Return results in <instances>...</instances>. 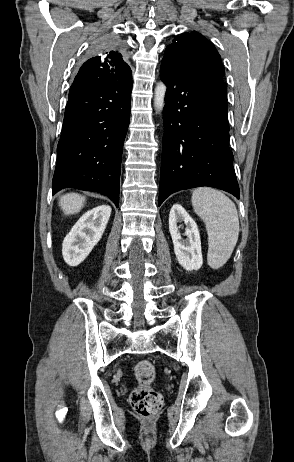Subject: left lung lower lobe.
<instances>
[{
    "label": "left lung lower lobe",
    "instance_id": "0a47b994",
    "mask_svg": "<svg viewBox=\"0 0 294 462\" xmlns=\"http://www.w3.org/2000/svg\"><path fill=\"white\" fill-rule=\"evenodd\" d=\"M160 76L167 91L158 206L176 191L200 186L219 188L239 199L224 81L162 63Z\"/></svg>",
    "mask_w": 294,
    "mask_h": 462
}]
</instances>
